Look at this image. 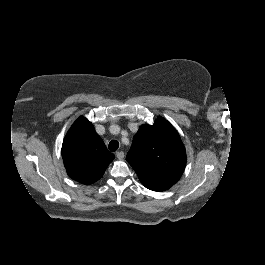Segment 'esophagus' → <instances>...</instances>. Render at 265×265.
Returning a JSON list of instances; mask_svg holds the SVG:
<instances>
[{
    "label": "esophagus",
    "mask_w": 265,
    "mask_h": 265,
    "mask_svg": "<svg viewBox=\"0 0 265 265\" xmlns=\"http://www.w3.org/2000/svg\"><path fill=\"white\" fill-rule=\"evenodd\" d=\"M116 157L119 159V160H122L124 158V152L123 151H119L116 153Z\"/></svg>",
    "instance_id": "34e87169"
}]
</instances>
